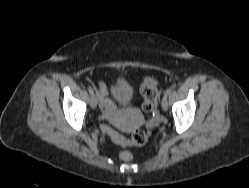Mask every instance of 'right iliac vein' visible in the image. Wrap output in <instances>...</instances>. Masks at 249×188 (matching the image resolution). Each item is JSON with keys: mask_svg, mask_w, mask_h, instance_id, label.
<instances>
[{"mask_svg": "<svg viewBox=\"0 0 249 188\" xmlns=\"http://www.w3.org/2000/svg\"><path fill=\"white\" fill-rule=\"evenodd\" d=\"M90 106L92 109H95L97 106V97L94 93L91 95V98H90Z\"/></svg>", "mask_w": 249, "mask_h": 188, "instance_id": "obj_1", "label": "right iliac vein"}]
</instances>
